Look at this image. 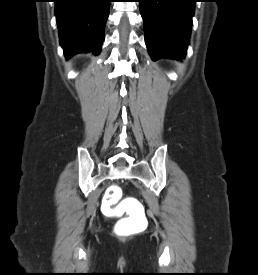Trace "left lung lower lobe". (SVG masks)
I'll return each instance as SVG.
<instances>
[{
  "mask_svg": "<svg viewBox=\"0 0 258 275\" xmlns=\"http://www.w3.org/2000/svg\"><path fill=\"white\" fill-rule=\"evenodd\" d=\"M195 2L196 0H139L145 42L153 60L184 58Z\"/></svg>",
  "mask_w": 258,
  "mask_h": 275,
  "instance_id": "obj_1",
  "label": "left lung lower lobe"
}]
</instances>
